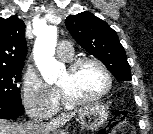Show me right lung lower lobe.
I'll list each match as a JSON object with an SVG mask.
<instances>
[{
	"label": "right lung lower lobe",
	"instance_id": "obj_1",
	"mask_svg": "<svg viewBox=\"0 0 153 134\" xmlns=\"http://www.w3.org/2000/svg\"><path fill=\"white\" fill-rule=\"evenodd\" d=\"M24 113L22 103H13L0 100V118L15 119Z\"/></svg>",
	"mask_w": 153,
	"mask_h": 134
}]
</instances>
